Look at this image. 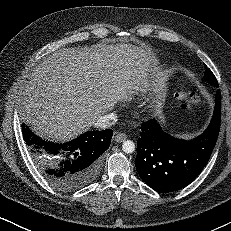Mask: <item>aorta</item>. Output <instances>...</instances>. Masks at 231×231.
<instances>
[{"label": "aorta", "mask_w": 231, "mask_h": 231, "mask_svg": "<svg viewBox=\"0 0 231 231\" xmlns=\"http://www.w3.org/2000/svg\"><path fill=\"white\" fill-rule=\"evenodd\" d=\"M122 150L125 153H133L135 151V144L131 140L124 141L122 144Z\"/></svg>", "instance_id": "obj_1"}]
</instances>
